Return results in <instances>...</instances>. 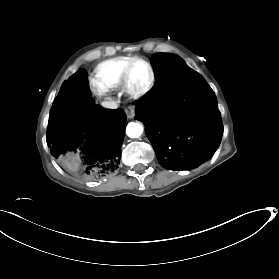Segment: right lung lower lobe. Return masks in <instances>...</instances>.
<instances>
[{"label": "right lung lower lobe", "mask_w": 279, "mask_h": 279, "mask_svg": "<svg viewBox=\"0 0 279 279\" xmlns=\"http://www.w3.org/2000/svg\"><path fill=\"white\" fill-rule=\"evenodd\" d=\"M126 125L122 109L112 115L100 112L90 96L86 72L78 71L63 83L53 102L47 144L57 159L83 143L80 161L67 167L76 175L99 178L120 163Z\"/></svg>", "instance_id": "1"}]
</instances>
